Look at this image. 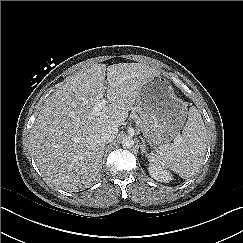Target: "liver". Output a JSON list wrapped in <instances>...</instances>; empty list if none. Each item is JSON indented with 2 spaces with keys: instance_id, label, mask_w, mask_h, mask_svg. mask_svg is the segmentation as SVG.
I'll use <instances>...</instances> for the list:
<instances>
[{
  "instance_id": "liver-1",
  "label": "liver",
  "mask_w": 243,
  "mask_h": 243,
  "mask_svg": "<svg viewBox=\"0 0 243 243\" xmlns=\"http://www.w3.org/2000/svg\"><path fill=\"white\" fill-rule=\"evenodd\" d=\"M158 73L143 63L93 64L66 79L32 128L31 148L41 173L64 190L90 186L102 169V131L125 122L142 86ZM104 96L107 104L93 113Z\"/></svg>"
}]
</instances>
